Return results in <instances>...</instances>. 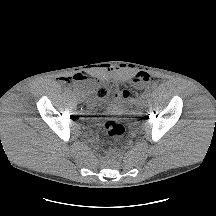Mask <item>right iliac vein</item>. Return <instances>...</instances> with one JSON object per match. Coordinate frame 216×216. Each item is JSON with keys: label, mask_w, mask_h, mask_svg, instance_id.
<instances>
[{"label": "right iliac vein", "mask_w": 216, "mask_h": 216, "mask_svg": "<svg viewBox=\"0 0 216 216\" xmlns=\"http://www.w3.org/2000/svg\"><path fill=\"white\" fill-rule=\"evenodd\" d=\"M75 96L78 98L79 101H83L82 97L78 93Z\"/></svg>", "instance_id": "right-iliac-vein-1"}]
</instances>
